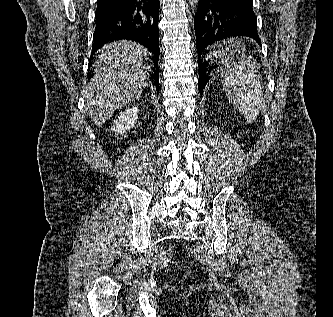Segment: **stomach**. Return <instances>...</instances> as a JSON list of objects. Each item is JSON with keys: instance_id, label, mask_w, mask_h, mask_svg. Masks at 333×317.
Wrapping results in <instances>:
<instances>
[{"instance_id": "stomach-1", "label": "stomach", "mask_w": 333, "mask_h": 317, "mask_svg": "<svg viewBox=\"0 0 333 317\" xmlns=\"http://www.w3.org/2000/svg\"><path fill=\"white\" fill-rule=\"evenodd\" d=\"M211 52L208 55V62H220V69H241V62H254V55H245L247 45L242 41H215L211 45ZM217 70L214 75V82H258V81H225L224 75L230 71Z\"/></svg>"}]
</instances>
